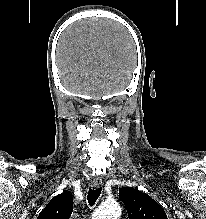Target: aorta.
Returning <instances> with one entry per match:
<instances>
[{"label": "aorta", "mask_w": 206, "mask_h": 219, "mask_svg": "<svg viewBox=\"0 0 206 219\" xmlns=\"http://www.w3.org/2000/svg\"><path fill=\"white\" fill-rule=\"evenodd\" d=\"M121 207L118 203H104L93 214L92 219H118Z\"/></svg>", "instance_id": "762f6f07"}]
</instances>
